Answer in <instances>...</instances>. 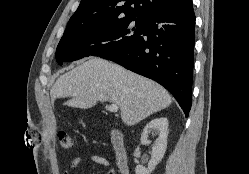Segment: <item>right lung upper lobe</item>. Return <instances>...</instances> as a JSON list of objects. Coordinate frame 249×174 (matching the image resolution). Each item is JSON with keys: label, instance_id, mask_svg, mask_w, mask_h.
Returning <instances> with one entry per match:
<instances>
[{"label": "right lung upper lobe", "instance_id": "right-lung-upper-lobe-1", "mask_svg": "<svg viewBox=\"0 0 249 174\" xmlns=\"http://www.w3.org/2000/svg\"><path fill=\"white\" fill-rule=\"evenodd\" d=\"M192 0H81L67 28L125 17L145 20L163 10L184 7Z\"/></svg>", "mask_w": 249, "mask_h": 174}]
</instances>
